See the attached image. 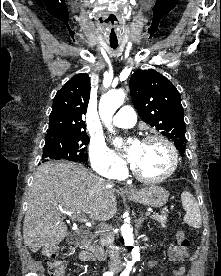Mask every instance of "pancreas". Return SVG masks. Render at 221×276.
Listing matches in <instances>:
<instances>
[{"instance_id":"cf45deb5","label":"pancreas","mask_w":221,"mask_h":276,"mask_svg":"<svg viewBox=\"0 0 221 276\" xmlns=\"http://www.w3.org/2000/svg\"><path fill=\"white\" fill-rule=\"evenodd\" d=\"M152 219L158 221L162 227H164L167 223V215L166 213L164 215H159V214H153L151 216Z\"/></svg>"}]
</instances>
